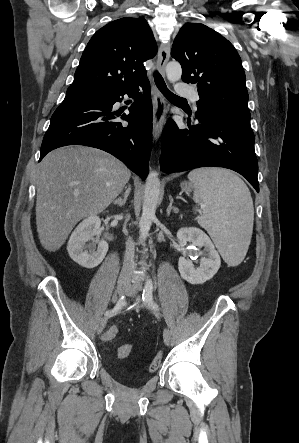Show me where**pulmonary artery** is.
<instances>
[{
    "instance_id": "obj_1",
    "label": "pulmonary artery",
    "mask_w": 299,
    "mask_h": 443,
    "mask_svg": "<svg viewBox=\"0 0 299 443\" xmlns=\"http://www.w3.org/2000/svg\"><path fill=\"white\" fill-rule=\"evenodd\" d=\"M177 93L182 97L190 98L194 103L199 100V96L194 88L188 85L179 84L177 85Z\"/></svg>"
}]
</instances>
